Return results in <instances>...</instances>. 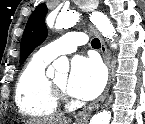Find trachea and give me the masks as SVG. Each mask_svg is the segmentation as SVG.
<instances>
[{"mask_svg":"<svg viewBox=\"0 0 145 124\" xmlns=\"http://www.w3.org/2000/svg\"><path fill=\"white\" fill-rule=\"evenodd\" d=\"M91 45H92L93 48L98 49V48H100L101 43H100V41H99L98 38H94V39L91 41Z\"/></svg>","mask_w":145,"mask_h":124,"instance_id":"obj_1","label":"trachea"}]
</instances>
